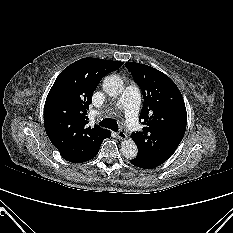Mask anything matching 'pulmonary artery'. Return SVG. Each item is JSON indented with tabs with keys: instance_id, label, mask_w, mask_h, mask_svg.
<instances>
[{
	"instance_id": "1",
	"label": "pulmonary artery",
	"mask_w": 233,
	"mask_h": 233,
	"mask_svg": "<svg viewBox=\"0 0 233 233\" xmlns=\"http://www.w3.org/2000/svg\"><path fill=\"white\" fill-rule=\"evenodd\" d=\"M122 107L125 111L126 124L130 131L137 132L139 129L138 123V108H139V91L136 86H128L116 104Z\"/></svg>"
}]
</instances>
